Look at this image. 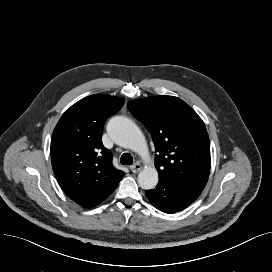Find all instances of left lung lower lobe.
Segmentation results:
<instances>
[{"label": "left lung lower lobe", "instance_id": "left-lung-lower-lobe-1", "mask_svg": "<svg viewBox=\"0 0 272 272\" xmlns=\"http://www.w3.org/2000/svg\"><path fill=\"white\" fill-rule=\"evenodd\" d=\"M201 192L202 190L183 182L161 179L155 189L145 193L157 209L172 214L187 208Z\"/></svg>", "mask_w": 272, "mask_h": 272}]
</instances>
